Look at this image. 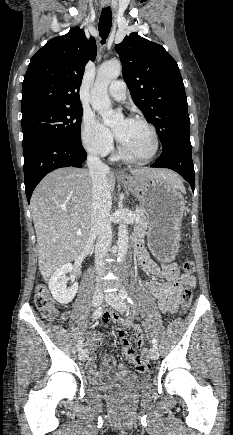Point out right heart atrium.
Wrapping results in <instances>:
<instances>
[{"instance_id": "right-heart-atrium-1", "label": "right heart atrium", "mask_w": 233, "mask_h": 435, "mask_svg": "<svg viewBox=\"0 0 233 435\" xmlns=\"http://www.w3.org/2000/svg\"><path fill=\"white\" fill-rule=\"evenodd\" d=\"M80 138L85 150L94 156H104L113 149L111 132L90 113L83 116Z\"/></svg>"}]
</instances>
